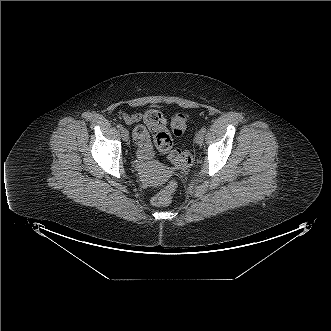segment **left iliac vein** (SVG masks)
Returning a JSON list of instances; mask_svg holds the SVG:
<instances>
[{"label":"left iliac vein","mask_w":331,"mask_h":331,"mask_svg":"<svg viewBox=\"0 0 331 331\" xmlns=\"http://www.w3.org/2000/svg\"><path fill=\"white\" fill-rule=\"evenodd\" d=\"M204 140V134L201 131H198L195 135V141L197 144L201 145Z\"/></svg>","instance_id":"obj_1"}]
</instances>
